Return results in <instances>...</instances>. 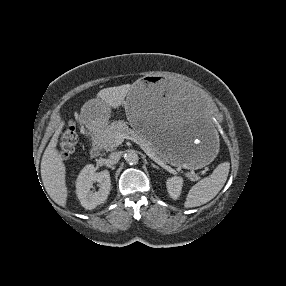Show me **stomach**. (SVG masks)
Segmentation results:
<instances>
[{"label":"stomach","mask_w":286,"mask_h":286,"mask_svg":"<svg viewBox=\"0 0 286 286\" xmlns=\"http://www.w3.org/2000/svg\"><path fill=\"white\" fill-rule=\"evenodd\" d=\"M125 111L130 126L171 165L199 169L214 159L216 135L207 104L189 89L153 76L140 78L127 94ZM111 114L110 103L99 96L85 100L78 111L90 131L106 128Z\"/></svg>","instance_id":"1"}]
</instances>
